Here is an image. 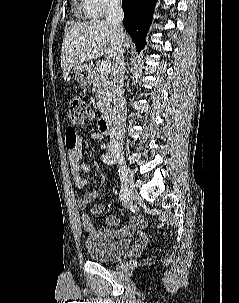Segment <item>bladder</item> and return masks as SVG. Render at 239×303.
<instances>
[{"label": "bladder", "instance_id": "31cf9c89", "mask_svg": "<svg viewBox=\"0 0 239 303\" xmlns=\"http://www.w3.org/2000/svg\"><path fill=\"white\" fill-rule=\"evenodd\" d=\"M130 239L113 241H95L86 239L84 245L88 256L95 261H111L118 259L128 251Z\"/></svg>", "mask_w": 239, "mask_h": 303}]
</instances>
